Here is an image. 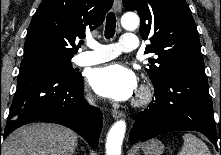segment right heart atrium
Listing matches in <instances>:
<instances>
[{
	"mask_svg": "<svg viewBox=\"0 0 221 155\" xmlns=\"http://www.w3.org/2000/svg\"><path fill=\"white\" fill-rule=\"evenodd\" d=\"M87 99L89 100V101H92V97L91 96H87Z\"/></svg>",
	"mask_w": 221,
	"mask_h": 155,
	"instance_id": "obj_1",
	"label": "right heart atrium"
}]
</instances>
